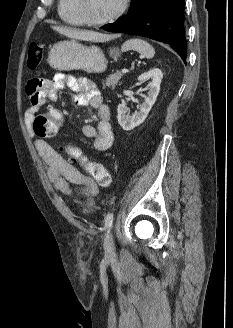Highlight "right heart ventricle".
Returning <instances> with one entry per match:
<instances>
[{
	"label": "right heart ventricle",
	"mask_w": 233,
	"mask_h": 328,
	"mask_svg": "<svg viewBox=\"0 0 233 328\" xmlns=\"http://www.w3.org/2000/svg\"><path fill=\"white\" fill-rule=\"evenodd\" d=\"M58 14L62 21L74 26L85 24L76 8V0H58Z\"/></svg>",
	"instance_id": "e07e8e85"
}]
</instances>
